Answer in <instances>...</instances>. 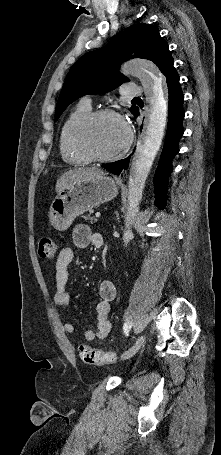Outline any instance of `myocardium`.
I'll return each instance as SVG.
<instances>
[{
  "label": "myocardium",
  "mask_w": 221,
  "mask_h": 455,
  "mask_svg": "<svg viewBox=\"0 0 221 455\" xmlns=\"http://www.w3.org/2000/svg\"><path fill=\"white\" fill-rule=\"evenodd\" d=\"M114 117L117 118L124 126L126 132V140L124 145L117 152L107 155H97L90 147L89 135L93 125L103 117ZM133 142L132 130L124 119V117L116 110L109 108H102L95 111H91L79 124L77 129V143L80 150L89 158L90 161L98 163H106L117 160L124 156L130 149Z\"/></svg>",
  "instance_id": "1"
}]
</instances>
